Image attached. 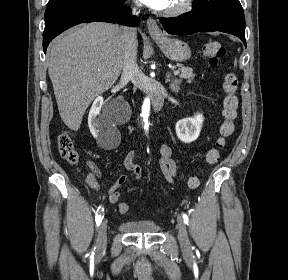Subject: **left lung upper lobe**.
Wrapping results in <instances>:
<instances>
[{"mask_svg":"<svg viewBox=\"0 0 288 280\" xmlns=\"http://www.w3.org/2000/svg\"><path fill=\"white\" fill-rule=\"evenodd\" d=\"M193 9L229 17L245 26L244 12L239 0H197L193 2Z\"/></svg>","mask_w":288,"mask_h":280,"instance_id":"5c2ea615","label":"left lung upper lobe"}]
</instances>
